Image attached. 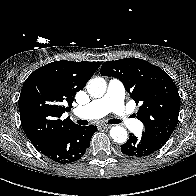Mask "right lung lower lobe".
<instances>
[{
  "label": "right lung lower lobe",
  "mask_w": 196,
  "mask_h": 196,
  "mask_svg": "<svg viewBox=\"0 0 196 196\" xmlns=\"http://www.w3.org/2000/svg\"><path fill=\"white\" fill-rule=\"evenodd\" d=\"M96 126L74 125L38 151L55 162L66 164L79 160L90 146Z\"/></svg>",
  "instance_id": "1"
}]
</instances>
